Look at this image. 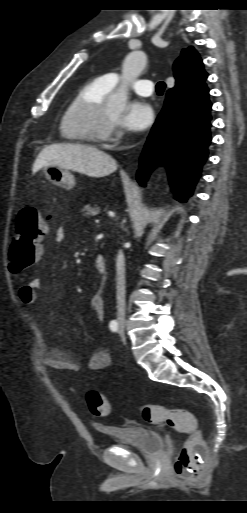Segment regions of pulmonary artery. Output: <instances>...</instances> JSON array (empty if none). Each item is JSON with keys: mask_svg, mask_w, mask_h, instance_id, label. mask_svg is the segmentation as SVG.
Masks as SVG:
<instances>
[{"mask_svg": "<svg viewBox=\"0 0 247 513\" xmlns=\"http://www.w3.org/2000/svg\"><path fill=\"white\" fill-rule=\"evenodd\" d=\"M104 85L113 88L120 77L117 73H108L98 78ZM133 90L141 96H150L153 93V82L150 80H137L132 84Z\"/></svg>", "mask_w": 247, "mask_h": 513, "instance_id": "pulmonary-artery-1", "label": "pulmonary artery"}]
</instances>
